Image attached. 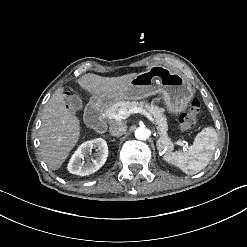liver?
Returning <instances> with one entry per match:
<instances>
[{
  "label": "liver",
  "mask_w": 247,
  "mask_h": 247,
  "mask_svg": "<svg viewBox=\"0 0 247 247\" xmlns=\"http://www.w3.org/2000/svg\"><path fill=\"white\" fill-rule=\"evenodd\" d=\"M137 73L119 77H101L85 74L77 82L93 94L118 92L124 89ZM64 88H58L43 109L39 131L40 152L44 162L52 170H57L65 161L80 136V121L66 107Z\"/></svg>",
  "instance_id": "1"
}]
</instances>
